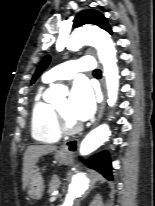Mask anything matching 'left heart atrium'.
Instances as JSON below:
<instances>
[{
	"label": "left heart atrium",
	"instance_id": "1",
	"mask_svg": "<svg viewBox=\"0 0 155 206\" xmlns=\"http://www.w3.org/2000/svg\"><path fill=\"white\" fill-rule=\"evenodd\" d=\"M95 110L94 95L89 85L83 81H77L70 92L67 103V112L75 121L89 119Z\"/></svg>",
	"mask_w": 155,
	"mask_h": 206
}]
</instances>
